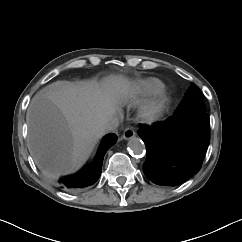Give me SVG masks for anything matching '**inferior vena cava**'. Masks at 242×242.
Here are the masks:
<instances>
[{"label":"inferior vena cava","instance_id":"inferior-vena-cava-1","mask_svg":"<svg viewBox=\"0 0 242 242\" xmlns=\"http://www.w3.org/2000/svg\"><path fill=\"white\" fill-rule=\"evenodd\" d=\"M119 126V120L117 117H109L104 125H103V130L104 131H112L115 130Z\"/></svg>","mask_w":242,"mask_h":242}]
</instances>
